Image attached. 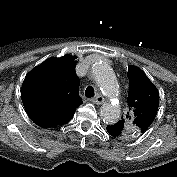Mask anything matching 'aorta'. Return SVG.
I'll list each match as a JSON object with an SVG mask.
<instances>
[{"mask_svg":"<svg viewBox=\"0 0 177 177\" xmlns=\"http://www.w3.org/2000/svg\"><path fill=\"white\" fill-rule=\"evenodd\" d=\"M94 80L102 93L107 97H115L118 90L116 76L106 62H96L92 66ZM120 107L116 104L105 103L101 106L100 116L104 122L109 124L116 123L120 118Z\"/></svg>","mask_w":177,"mask_h":177,"instance_id":"aorta-1","label":"aorta"}]
</instances>
